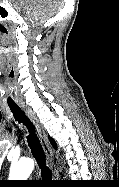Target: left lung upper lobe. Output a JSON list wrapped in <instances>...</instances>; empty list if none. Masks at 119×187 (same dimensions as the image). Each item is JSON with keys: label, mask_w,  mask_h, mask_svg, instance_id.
<instances>
[{"label": "left lung upper lobe", "mask_w": 119, "mask_h": 187, "mask_svg": "<svg viewBox=\"0 0 119 187\" xmlns=\"http://www.w3.org/2000/svg\"><path fill=\"white\" fill-rule=\"evenodd\" d=\"M50 141H51L53 147L56 148V144H55L54 140H53L52 138H50ZM2 182H3V181H2Z\"/></svg>", "instance_id": "obj_1"}]
</instances>
